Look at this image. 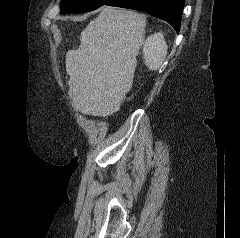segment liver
Returning <instances> with one entry per match:
<instances>
[{"label":"liver","instance_id":"liver-1","mask_svg":"<svg viewBox=\"0 0 240 238\" xmlns=\"http://www.w3.org/2000/svg\"><path fill=\"white\" fill-rule=\"evenodd\" d=\"M145 26L142 14L104 6L81 32L79 48L66 54L75 111L95 117L119 111L132 88Z\"/></svg>","mask_w":240,"mask_h":238}]
</instances>
